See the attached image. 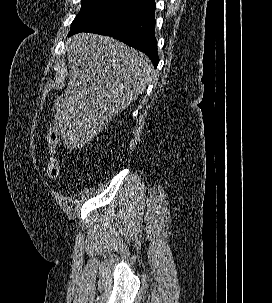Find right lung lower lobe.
Instances as JSON below:
<instances>
[{"label":"right lung lower lobe","mask_w":272,"mask_h":303,"mask_svg":"<svg viewBox=\"0 0 272 303\" xmlns=\"http://www.w3.org/2000/svg\"><path fill=\"white\" fill-rule=\"evenodd\" d=\"M155 5L123 18L106 22L84 31L111 36L149 56L154 67L158 65L155 30ZM70 36V35H69Z\"/></svg>","instance_id":"obj_1"}]
</instances>
